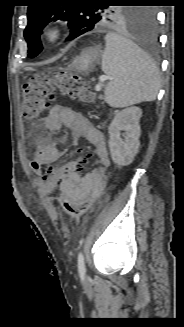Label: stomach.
<instances>
[{
	"label": "stomach",
	"mask_w": 184,
	"mask_h": 327,
	"mask_svg": "<svg viewBox=\"0 0 184 327\" xmlns=\"http://www.w3.org/2000/svg\"><path fill=\"white\" fill-rule=\"evenodd\" d=\"M100 55L98 48H87L73 61L71 67L81 73L89 72L99 61Z\"/></svg>",
	"instance_id": "0dacf381"
}]
</instances>
